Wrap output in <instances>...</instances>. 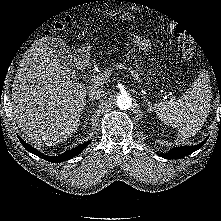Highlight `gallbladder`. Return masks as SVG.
<instances>
[{
    "mask_svg": "<svg viewBox=\"0 0 221 221\" xmlns=\"http://www.w3.org/2000/svg\"><path fill=\"white\" fill-rule=\"evenodd\" d=\"M49 46L63 68L69 74L74 73L75 66L73 63V53L64 41L60 38H52L49 41Z\"/></svg>",
    "mask_w": 221,
    "mask_h": 221,
    "instance_id": "bac80fb5",
    "label": "gallbladder"
}]
</instances>
